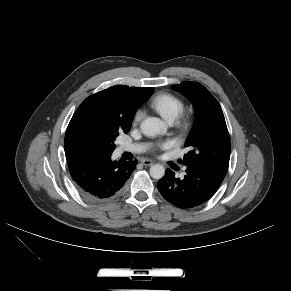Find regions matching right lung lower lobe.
Listing matches in <instances>:
<instances>
[{
  "label": "right lung lower lobe",
  "instance_id": "98d812e1",
  "mask_svg": "<svg viewBox=\"0 0 291 291\" xmlns=\"http://www.w3.org/2000/svg\"><path fill=\"white\" fill-rule=\"evenodd\" d=\"M112 153L86 152L68 160L72 179L80 194L90 201L112 198L136 167V161H112Z\"/></svg>",
  "mask_w": 291,
  "mask_h": 291
}]
</instances>
